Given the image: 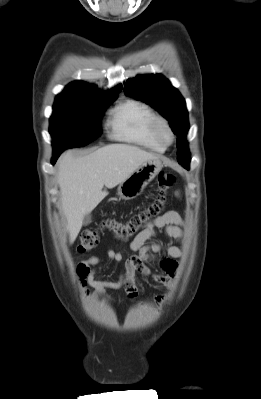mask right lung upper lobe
<instances>
[{
	"label": "right lung upper lobe",
	"mask_w": 261,
	"mask_h": 399,
	"mask_svg": "<svg viewBox=\"0 0 261 399\" xmlns=\"http://www.w3.org/2000/svg\"><path fill=\"white\" fill-rule=\"evenodd\" d=\"M122 86L117 87L104 92L98 91L96 88L90 86L88 83L83 81H75L70 83L66 88L60 93L56 99L57 100H87V99H109L116 98L121 91Z\"/></svg>",
	"instance_id": "obj_1"
}]
</instances>
